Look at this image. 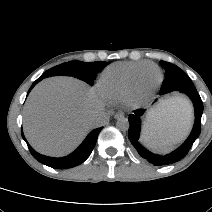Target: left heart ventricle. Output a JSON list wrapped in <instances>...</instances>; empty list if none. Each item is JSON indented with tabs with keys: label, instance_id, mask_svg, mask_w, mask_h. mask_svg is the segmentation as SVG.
Masks as SVG:
<instances>
[{
	"label": "left heart ventricle",
	"instance_id": "b2bd125f",
	"mask_svg": "<svg viewBox=\"0 0 212 212\" xmlns=\"http://www.w3.org/2000/svg\"><path fill=\"white\" fill-rule=\"evenodd\" d=\"M157 73L156 70L151 68L147 69L143 74V87L149 88L156 83Z\"/></svg>",
	"mask_w": 212,
	"mask_h": 212
}]
</instances>
